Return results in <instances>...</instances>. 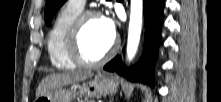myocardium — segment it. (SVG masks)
<instances>
[{"instance_id": "obj_1", "label": "myocardium", "mask_w": 221, "mask_h": 102, "mask_svg": "<svg viewBox=\"0 0 221 102\" xmlns=\"http://www.w3.org/2000/svg\"><path fill=\"white\" fill-rule=\"evenodd\" d=\"M101 15L95 11L82 12L72 24L67 38V52L71 60L79 66L86 68H96L106 63L115 53L117 49V41L113 40L108 51L97 60L87 59L81 50V33L88 20L92 18H100Z\"/></svg>"}]
</instances>
